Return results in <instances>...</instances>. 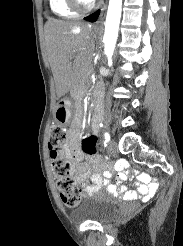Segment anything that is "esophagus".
I'll return each mask as SVG.
<instances>
[{
  "instance_id": "34e87169",
  "label": "esophagus",
  "mask_w": 183,
  "mask_h": 246,
  "mask_svg": "<svg viewBox=\"0 0 183 246\" xmlns=\"http://www.w3.org/2000/svg\"><path fill=\"white\" fill-rule=\"evenodd\" d=\"M107 3H108V0H106L105 2H103L101 4L100 14H99V17H98V19L96 21V26L102 25V23L104 21V18H105V15H106Z\"/></svg>"
}]
</instances>
